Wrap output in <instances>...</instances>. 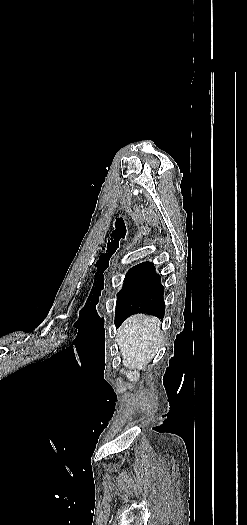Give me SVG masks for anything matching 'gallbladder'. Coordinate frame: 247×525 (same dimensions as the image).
<instances>
[{"instance_id": "obj_1", "label": "gallbladder", "mask_w": 247, "mask_h": 525, "mask_svg": "<svg viewBox=\"0 0 247 525\" xmlns=\"http://www.w3.org/2000/svg\"><path fill=\"white\" fill-rule=\"evenodd\" d=\"M122 372H123L124 374H127V373L129 372V369H128L127 367H124V368L122 369Z\"/></svg>"}]
</instances>
